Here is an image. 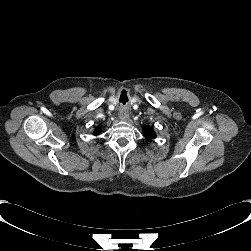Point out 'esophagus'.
<instances>
[{
    "label": "esophagus",
    "instance_id": "obj_1",
    "mask_svg": "<svg viewBox=\"0 0 251 251\" xmlns=\"http://www.w3.org/2000/svg\"><path fill=\"white\" fill-rule=\"evenodd\" d=\"M119 118L122 121H127L129 118V113L126 110L122 109L119 113Z\"/></svg>",
    "mask_w": 251,
    "mask_h": 251
}]
</instances>
